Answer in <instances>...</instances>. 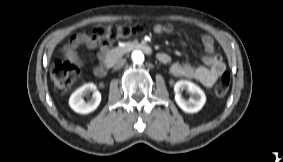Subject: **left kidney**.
Masks as SVG:
<instances>
[{
  "mask_svg": "<svg viewBox=\"0 0 283 162\" xmlns=\"http://www.w3.org/2000/svg\"><path fill=\"white\" fill-rule=\"evenodd\" d=\"M186 90L190 93V98L186 100L182 97L181 91ZM175 101L177 105L187 113H195L202 109L206 102V96L203 90L196 84L180 80L174 86Z\"/></svg>",
  "mask_w": 283,
  "mask_h": 162,
  "instance_id": "obj_1",
  "label": "left kidney"
}]
</instances>
